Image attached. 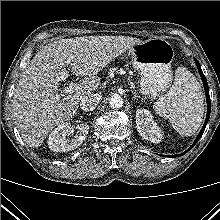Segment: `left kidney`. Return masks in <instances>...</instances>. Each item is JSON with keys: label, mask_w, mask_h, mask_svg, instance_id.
<instances>
[{"label": "left kidney", "mask_w": 220, "mask_h": 220, "mask_svg": "<svg viewBox=\"0 0 220 220\" xmlns=\"http://www.w3.org/2000/svg\"><path fill=\"white\" fill-rule=\"evenodd\" d=\"M136 125L137 131L144 139L156 144L161 141V130L153 120L150 111L146 109H138L136 111Z\"/></svg>", "instance_id": "obj_1"}]
</instances>
